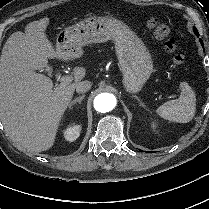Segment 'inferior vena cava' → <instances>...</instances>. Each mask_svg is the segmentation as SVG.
Masks as SVG:
<instances>
[{"mask_svg": "<svg viewBox=\"0 0 209 209\" xmlns=\"http://www.w3.org/2000/svg\"><path fill=\"white\" fill-rule=\"evenodd\" d=\"M92 83L88 80L78 82L75 86L77 93H85L90 90Z\"/></svg>", "mask_w": 209, "mask_h": 209, "instance_id": "inferior-vena-cava-1", "label": "inferior vena cava"}]
</instances>
